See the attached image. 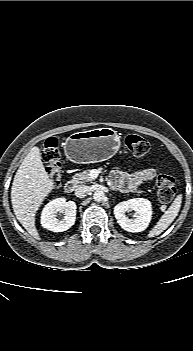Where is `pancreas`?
Listing matches in <instances>:
<instances>
[{
	"label": "pancreas",
	"mask_w": 193,
	"mask_h": 351,
	"mask_svg": "<svg viewBox=\"0 0 193 351\" xmlns=\"http://www.w3.org/2000/svg\"><path fill=\"white\" fill-rule=\"evenodd\" d=\"M90 169L84 170L82 172L76 173L73 176L72 179V183L74 185L78 184V183H82V182H92L94 179L90 176Z\"/></svg>",
	"instance_id": "pancreas-1"
}]
</instances>
